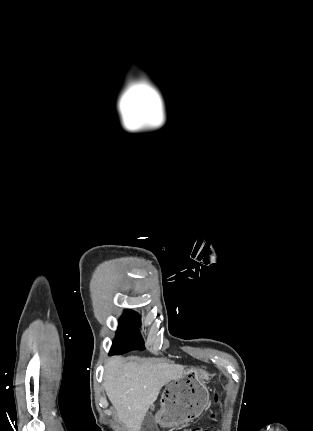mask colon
Masks as SVG:
<instances>
[{
    "label": "colon",
    "instance_id": "1",
    "mask_svg": "<svg viewBox=\"0 0 313 431\" xmlns=\"http://www.w3.org/2000/svg\"><path fill=\"white\" fill-rule=\"evenodd\" d=\"M216 400H218V396H216ZM212 416H214V414H212ZM183 431H209V430L203 429L201 427H195V428L184 429Z\"/></svg>",
    "mask_w": 313,
    "mask_h": 431
}]
</instances>
